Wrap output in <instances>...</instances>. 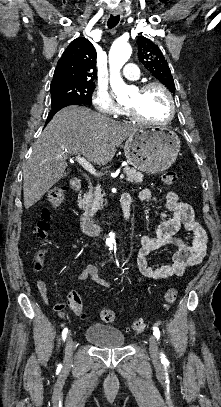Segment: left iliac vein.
I'll return each mask as SVG.
<instances>
[{
    "instance_id": "obj_1",
    "label": "left iliac vein",
    "mask_w": 221,
    "mask_h": 407,
    "mask_svg": "<svg viewBox=\"0 0 221 407\" xmlns=\"http://www.w3.org/2000/svg\"><path fill=\"white\" fill-rule=\"evenodd\" d=\"M149 351L152 359L157 361L159 359V351L156 339L153 335L149 336Z\"/></svg>"
}]
</instances>
